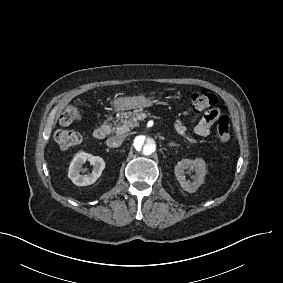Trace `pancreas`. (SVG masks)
Listing matches in <instances>:
<instances>
[{
  "mask_svg": "<svg viewBox=\"0 0 283 283\" xmlns=\"http://www.w3.org/2000/svg\"><path fill=\"white\" fill-rule=\"evenodd\" d=\"M142 110H135L133 112H125L121 113L116 117V120L114 122V126L112 127V131L116 134H124L125 132L129 131L131 128H134L138 126V116ZM174 130L181 136L179 138H182L183 141L189 145L193 143H197V141L191 137L185 134L186 127L182 125L180 120H176V122L173 124Z\"/></svg>",
  "mask_w": 283,
  "mask_h": 283,
  "instance_id": "pancreas-1",
  "label": "pancreas"
}]
</instances>
